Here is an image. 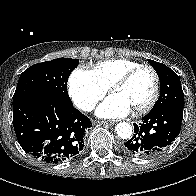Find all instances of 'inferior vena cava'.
Here are the masks:
<instances>
[{
    "label": "inferior vena cava",
    "instance_id": "inferior-vena-cava-1",
    "mask_svg": "<svg viewBox=\"0 0 196 196\" xmlns=\"http://www.w3.org/2000/svg\"><path fill=\"white\" fill-rule=\"evenodd\" d=\"M95 107V104L93 103H90V102H83L81 104V108L84 110V111H92Z\"/></svg>",
    "mask_w": 196,
    "mask_h": 196
}]
</instances>
